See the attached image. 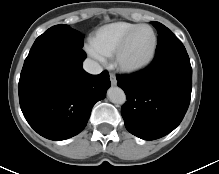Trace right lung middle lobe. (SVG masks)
<instances>
[{
	"label": "right lung middle lobe",
	"instance_id": "1",
	"mask_svg": "<svg viewBox=\"0 0 219 174\" xmlns=\"http://www.w3.org/2000/svg\"><path fill=\"white\" fill-rule=\"evenodd\" d=\"M83 39L84 36L82 34L70 28L68 25L60 24L53 26L35 40L26 59L32 57L41 50L54 45L82 48Z\"/></svg>",
	"mask_w": 219,
	"mask_h": 174
}]
</instances>
